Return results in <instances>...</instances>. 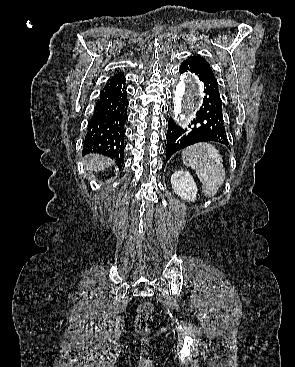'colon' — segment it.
Here are the masks:
<instances>
[{
	"label": "colon",
	"mask_w": 295,
	"mask_h": 367,
	"mask_svg": "<svg viewBox=\"0 0 295 367\" xmlns=\"http://www.w3.org/2000/svg\"><path fill=\"white\" fill-rule=\"evenodd\" d=\"M152 315V305L148 302L140 304L136 317V328L139 331H144L150 323Z\"/></svg>",
	"instance_id": "obj_1"
}]
</instances>
